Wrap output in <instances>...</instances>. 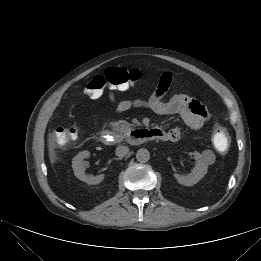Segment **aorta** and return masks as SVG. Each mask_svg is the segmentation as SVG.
Wrapping results in <instances>:
<instances>
[{"label": "aorta", "instance_id": "aorta-1", "mask_svg": "<svg viewBox=\"0 0 261 261\" xmlns=\"http://www.w3.org/2000/svg\"><path fill=\"white\" fill-rule=\"evenodd\" d=\"M136 159L140 163L148 162L150 159V153L147 149L141 148L136 152Z\"/></svg>", "mask_w": 261, "mask_h": 261}]
</instances>
